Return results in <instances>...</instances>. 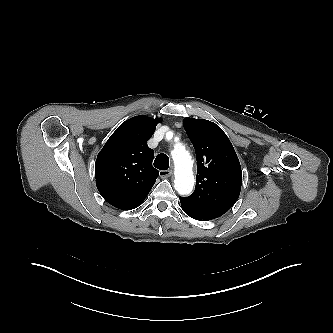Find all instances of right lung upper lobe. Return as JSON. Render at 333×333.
I'll list each match as a JSON object with an SVG mask.
<instances>
[{"label": "right lung upper lobe", "instance_id": "right-lung-upper-lobe-1", "mask_svg": "<svg viewBox=\"0 0 333 333\" xmlns=\"http://www.w3.org/2000/svg\"><path fill=\"white\" fill-rule=\"evenodd\" d=\"M160 118L136 116L122 123L99 152L95 162L96 186L112 206L138 207L159 176L152 166L154 151L147 141Z\"/></svg>", "mask_w": 333, "mask_h": 333}]
</instances>
